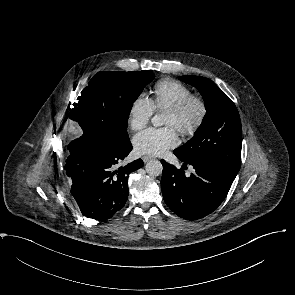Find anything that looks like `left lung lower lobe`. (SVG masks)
<instances>
[{
    "mask_svg": "<svg viewBox=\"0 0 295 295\" xmlns=\"http://www.w3.org/2000/svg\"><path fill=\"white\" fill-rule=\"evenodd\" d=\"M183 161L195 169L189 177L184 170L161 160L163 165L161 190L167 206L178 216L196 220L212 213L225 199L235 179L221 166L204 160Z\"/></svg>",
    "mask_w": 295,
    "mask_h": 295,
    "instance_id": "0a47b994",
    "label": "left lung lower lobe"
}]
</instances>
